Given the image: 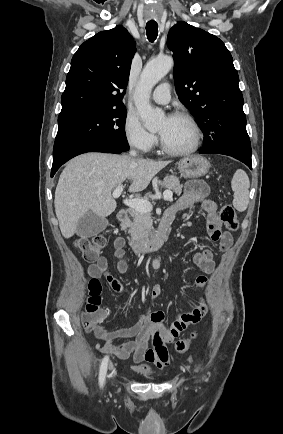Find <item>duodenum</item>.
<instances>
[{
    "instance_id": "410a0bca",
    "label": "duodenum",
    "mask_w": 283,
    "mask_h": 434,
    "mask_svg": "<svg viewBox=\"0 0 283 434\" xmlns=\"http://www.w3.org/2000/svg\"><path fill=\"white\" fill-rule=\"evenodd\" d=\"M117 219L121 223H125L128 220V210L122 208L117 213ZM170 223L166 220H162L158 231L149 237L145 241L132 240L131 245L136 253L147 254L158 248H160L167 239Z\"/></svg>"
}]
</instances>
